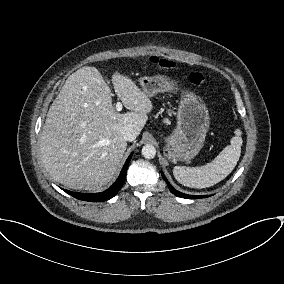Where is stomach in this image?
Returning a JSON list of instances; mask_svg holds the SVG:
<instances>
[{
	"label": "stomach",
	"instance_id": "0dacf381",
	"mask_svg": "<svg viewBox=\"0 0 284 284\" xmlns=\"http://www.w3.org/2000/svg\"><path fill=\"white\" fill-rule=\"evenodd\" d=\"M140 84L149 97L177 90V83L164 75L142 77ZM209 124V113L203 101L194 93L184 91L177 111V126L164 138L165 156L172 162L192 160L204 145Z\"/></svg>",
	"mask_w": 284,
	"mask_h": 284
}]
</instances>
